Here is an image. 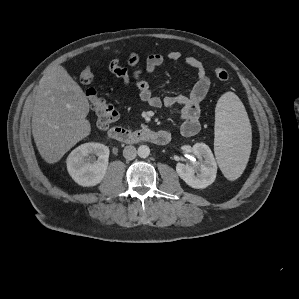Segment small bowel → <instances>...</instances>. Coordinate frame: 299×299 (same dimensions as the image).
<instances>
[{
	"mask_svg": "<svg viewBox=\"0 0 299 299\" xmlns=\"http://www.w3.org/2000/svg\"><path fill=\"white\" fill-rule=\"evenodd\" d=\"M168 60L177 62L181 60L182 55L178 51H172L167 55ZM185 63L195 70L196 82L188 94L170 95L160 97L156 95L150 83L142 77L143 70L140 67V56L136 52H130L127 56V63L132 68L130 72L121 65L118 58H114L109 63L110 72L120 79L125 85L134 82L141 100L152 107H178L181 117L180 130L184 136L190 137L198 133L200 129L199 116L200 105L208 94L211 80L207 75L204 65L200 60L193 56L185 58ZM164 62L161 54H152L146 58L145 71L148 75H154L156 69Z\"/></svg>",
	"mask_w": 299,
	"mask_h": 299,
	"instance_id": "1",
	"label": "small bowel"
}]
</instances>
